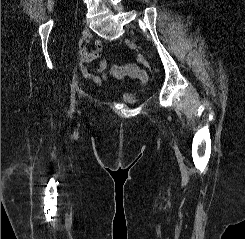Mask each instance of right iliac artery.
<instances>
[{
    "mask_svg": "<svg viewBox=\"0 0 245 239\" xmlns=\"http://www.w3.org/2000/svg\"><path fill=\"white\" fill-rule=\"evenodd\" d=\"M78 44L80 48L81 45L83 44V38L79 40ZM76 78H77V68H75L74 75H73V81L71 84V95H70V98H71L70 111L71 112L74 111L75 104H76V100H75V93H76V86H77Z\"/></svg>",
    "mask_w": 245,
    "mask_h": 239,
    "instance_id": "obj_1",
    "label": "right iliac artery"
}]
</instances>
